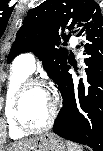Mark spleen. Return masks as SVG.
Segmentation results:
<instances>
[{"mask_svg":"<svg viewBox=\"0 0 103 151\" xmlns=\"http://www.w3.org/2000/svg\"><path fill=\"white\" fill-rule=\"evenodd\" d=\"M66 145H67L68 151H83L81 146L73 142L67 141Z\"/></svg>","mask_w":103,"mask_h":151,"instance_id":"obj_1","label":"spleen"}]
</instances>
